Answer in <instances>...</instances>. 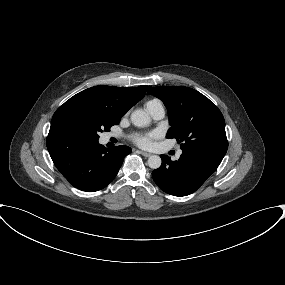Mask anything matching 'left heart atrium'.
Segmentation results:
<instances>
[{
	"instance_id": "1",
	"label": "left heart atrium",
	"mask_w": 285,
	"mask_h": 285,
	"mask_svg": "<svg viewBox=\"0 0 285 285\" xmlns=\"http://www.w3.org/2000/svg\"><path fill=\"white\" fill-rule=\"evenodd\" d=\"M154 137L153 134H146V135H134L133 141L140 147L147 148L151 144V140Z\"/></svg>"
}]
</instances>
